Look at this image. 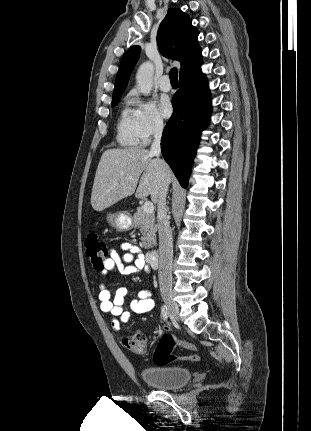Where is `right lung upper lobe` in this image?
<instances>
[{
	"label": "right lung upper lobe",
	"instance_id": "cb5924a9",
	"mask_svg": "<svg viewBox=\"0 0 311 431\" xmlns=\"http://www.w3.org/2000/svg\"><path fill=\"white\" fill-rule=\"evenodd\" d=\"M199 31L180 9H169L157 32V45L163 56L180 62V78L192 74L202 62L197 36ZM139 46H132L123 56L115 80L113 98L123 94L138 60Z\"/></svg>",
	"mask_w": 311,
	"mask_h": 431
}]
</instances>
